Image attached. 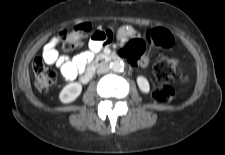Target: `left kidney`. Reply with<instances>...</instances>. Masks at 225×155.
I'll return each instance as SVG.
<instances>
[{
    "label": "left kidney",
    "mask_w": 225,
    "mask_h": 155,
    "mask_svg": "<svg viewBox=\"0 0 225 155\" xmlns=\"http://www.w3.org/2000/svg\"><path fill=\"white\" fill-rule=\"evenodd\" d=\"M137 84L139 89L144 92V93H148L150 91V85L148 80L143 77V76H138L137 77Z\"/></svg>",
    "instance_id": "left-kidney-1"
}]
</instances>
